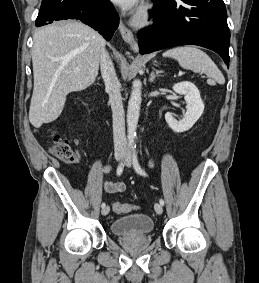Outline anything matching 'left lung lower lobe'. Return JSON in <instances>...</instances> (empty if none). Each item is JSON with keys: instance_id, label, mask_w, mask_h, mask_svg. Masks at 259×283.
I'll use <instances>...</instances> for the list:
<instances>
[{"instance_id": "obj_1", "label": "left lung lower lobe", "mask_w": 259, "mask_h": 283, "mask_svg": "<svg viewBox=\"0 0 259 283\" xmlns=\"http://www.w3.org/2000/svg\"><path fill=\"white\" fill-rule=\"evenodd\" d=\"M155 22L138 33L141 54L198 45L218 53L229 66L230 31L223 0H151Z\"/></svg>"}]
</instances>
